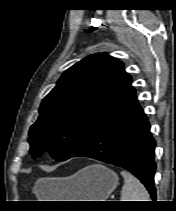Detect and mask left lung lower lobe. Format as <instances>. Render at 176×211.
<instances>
[{
	"label": "left lung lower lobe",
	"instance_id": "left-lung-lower-lobe-1",
	"mask_svg": "<svg viewBox=\"0 0 176 211\" xmlns=\"http://www.w3.org/2000/svg\"><path fill=\"white\" fill-rule=\"evenodd\" d=\"M155 145L148 119L135 99L100 126L72 157H89L127 169L156 200Z\"/></svg>",
	"mask_w": 176,
	"mask_h": 211
}]
</instances>
